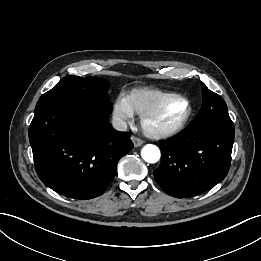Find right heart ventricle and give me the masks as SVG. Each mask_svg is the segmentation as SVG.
<instances>
[{
  "label": "right heart ventricle",
  "instance_id": "right-heart-ventricle-1",
  "mask_svg": "<svg viewBox=\"0 0 261 261\" xmlns=\"http://www.w3.org/2000/svg\"><path fill=\"white\" fill-rule=\"evenodd\" d=\"M170 94L158 89L138 88L132 90L127 97L133 111L142 115Z\"/></svg>",
  "mask_w": 261,
  "mask_h": 261
}]
</instances>
